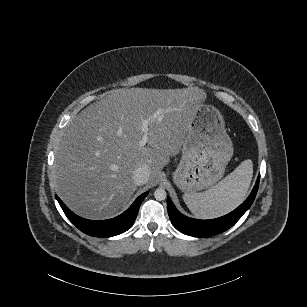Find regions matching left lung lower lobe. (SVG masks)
<instances>
[{"label": "left lung lower lobe", "instance_id": "left-lung-lower-lobe-1", "mask_svg": "<svg viewBox=\"0 0 307 307\" xmlns=\"http://www.w3.org/2000/svg\"><path fill=\"white\" fill-rule=\"evenodd\" d=\"M259 181L260 175L257 178L251 194L238 208L223 217L212 220H197L186 217L176 209L171 199L167 198V209L170 220L177 230L187 235L209 237L222 233L233 226L252 205L258 191Z\"/></svg>", "mask_w": 307, "mask_h": 307}]
</instances>
